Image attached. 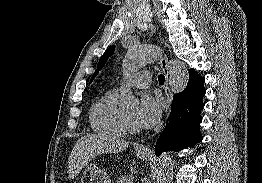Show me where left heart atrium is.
I'll use <instances>...</instances> for the list:
<instances>
[{
	"label": "left heart atrium",
	"instance_id": "1",
	"mask_svg": "<svg viewBox=\"0 0 262 183\" xmlns=\"http://www.w3.org/2000/svg\"><path fill=\"white\" fill-rule=\"evenodd\" d=\"M161 107L159 101L150 94L141 97L136 123L144 129L153 128L160 120Z\"/></svg>",
	"mask_w": 262,
	"mask_h": 183
}]
</instances>
